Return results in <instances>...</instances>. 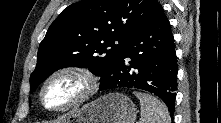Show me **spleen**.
Masks as SVG:
<instances>
[{
	"mask_svg": "<svg viewBox=\"0 0 221 123\" xmlns=\"http://www.w3.org/2000/svg\"><path fill=\"white\" fill-rule=\"evenodd\" d=\"M141 105V118L143 123H171L167 107L154 96L134 92Z\"/></svg>",
	"mask_w": 221,
	"mask_h": 123,
	"instance_id": "3e777b00",
	"label": "spleen"
}]
</instances>
